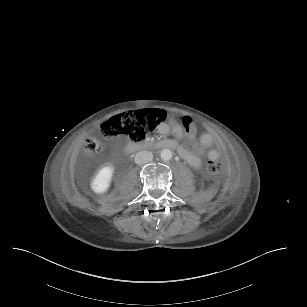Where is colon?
Listing matches in <instances>:
<instances>
[{
	"mask_svg": "<svg viewBox=\"0 0 307 307\" xmlns=\"http://www.w3.org/2000/svg\"><path fill=\"white\" fill-rule=\"evenodd\" d=\"M165 117L166 113L161 109L137 110L107 120L100 126L99 133L106 139L123 137L132 141H143ZM178 120L188 139H194L197 128L191 117L181 115ZM101 148L100 138H89L84 142L83 152L86 157L90 158L96 155ZM206 168L210 175H217L221 172L223 165L221 160L211 158L207 161Z\"/></svg>",
	"mask_w": 307,
	"mask_h": 307,
	"instance_id": "5ec220e1",
	"label": "colon"
}]
</instances>
